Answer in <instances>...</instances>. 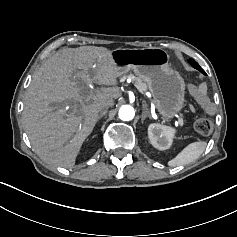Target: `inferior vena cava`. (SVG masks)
Masks as SVG:
<instances>
[{"instance_id":"602c4592","label":"inferior vena cava","mask_w":237,"mask_h":237,"mask_svg":"<svg viewBox=\"0 0 237 237\" xmlns=\"http://www.w3.org/2000/svg\"><path fill=\"white\" fill-rule=\"evenodd\" d=\"M114 105L113 99H106L100 103V106L104 109L112 107Z\"/></svg>"}]
</instances>
